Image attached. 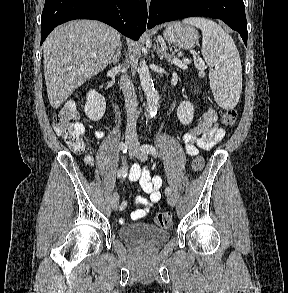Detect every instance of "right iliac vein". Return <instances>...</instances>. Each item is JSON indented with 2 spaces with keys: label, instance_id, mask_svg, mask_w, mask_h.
I'll return each mask as SVG.
<instances>
[{
  "label": "right iliac vein",
  "instance_id": "right-iliac-vein-1",
  "mask_svg": "<svg viewBox=\"0 0 288 293\" xmlns=\"http://www.w3.org/2000/svg\"><path fill=\"white\" fill-rule=\"evenodd\" d=\"M125 146L128 149V152L130 154H133V151H134V142L131 139H127L125 141ZM111 206H112V209L113 210H117V208L119 206V196H118V194L116 192L112 195V198H111Z\"/></svg>",
  "mask_w": 288,
  "mask_h": 293
}]
</instances>
